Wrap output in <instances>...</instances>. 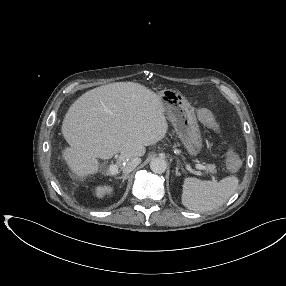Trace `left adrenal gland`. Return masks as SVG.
Instances as JSON below:
<instances>
[{"label":"left adrenal gland","instance_id":"obj_1","mask_svg":"<svg viewBox=\"0 0 286 286\" xmlns=\"http://www.w3.org/2000/svg\"><path fill=\"white\" fill-rule=\"evenodd\" d=\"M179 163H180V162H179V160L177 159V164H178V165H177L176 171H175V172H176V175H180V173L178 172V170H179V168H180Z\"/></svg>","mask_w":286,"mask_h":286}]
</instances>
